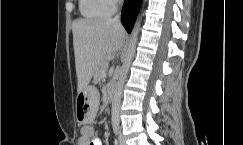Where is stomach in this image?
Segmentation results:
<instances>
[{
  "mask_svg": "<svg viewBox=\"0 0 243 145\" xmlns=\"http://www.w3.org/2000/svg\"><path fill=\"white\" fill-rule=\"evenodd\" d=\"M100 103V94H89L87 89L80 92L76 99V119L81 124L94 120L97 105Z\"/></svg>",
  "mask_w": 243,
  "mask_h": 145,
  "instance_id": "0dacf381",
  "label": "stomach"
}]
</instances>
